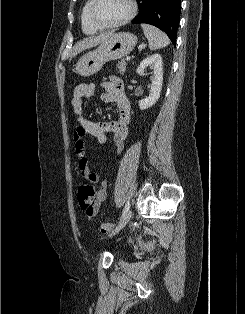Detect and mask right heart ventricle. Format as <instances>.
Here are the masks:
<instances>
[{"label":"right heart ventricle","instance_id":"obj_1","mask_svg":"<svg viewBox=\"0 0 245 314\" xmlns=\"http://www.w3.org/2000/svg\"><path fill=\"white\" fill-rule=\"evenodd\" d=\"M92 0H86L81 12V27L86 34H95L101 28L97 27L90 18V6Z\"/></svg>","mask_w":245,"mask_h":314}]
</instances>
